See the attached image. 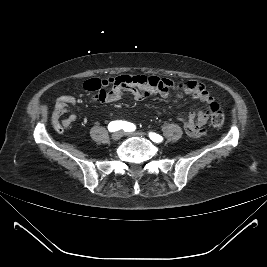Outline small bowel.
<instances>
[{"label": "small bowel", "mask_w": 267, "mask_h": 267, "mask_svg": "<svg viewBox=\"0 0 267 267\" xmlns=\"http://www.w3.org/2000/svg\"><path fill=\"white\" fill-rule=\"evenodd\" d=\"M143 75H120L111 78H92L84 82V89L91 93L92 99L102 103H113L118 101L124 93H130L137 100H142L154 94H160L163 98H168L171 90H177L176 99H180L185 94H190L197 101L210 105L214 99L207 92L204 84L195 80H187L176 83L169 79H159L152 76L160 82V87L151 90L146 87ZM109 88V89H107ZM76 99L70 95H64L57 99L54 109V117L60 118L67 113L68 107L74 105ZM209 114L198 110L191 111L187 116H179L178 120L183 124L186 133L193 138H202L205 135V125ZM77 120L75 113L69 114L63 120V126L68 127Z\"/></svg>", "instance_id": "small-bowel-1"}]
</instances>
